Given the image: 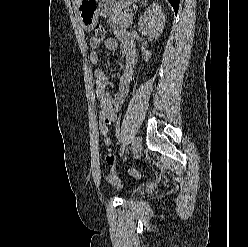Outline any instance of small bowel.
I'll list each match as a JSON object with an SVG mask.
<instances>
[{
  "label": "small bowel",
  "mask_w": 248,
  "mask_h": 247,
  "mask_svg": "<svg viewBox=\"0 0 248 247\" xmlns=\"http://www.w3.org/2000/svg\"><path fill=\"white\" fill-rule=\"evenodd\" d=\"M118 37L125 57L124 67L119 80L117 82H111L108 80L102 69H96L94 71L96 82L95 91L99 102V129L100 133L104 137V144L107 148L105 160L111 167L116 164V156L112 152V141L108 136V127L112 122L116 121L117 113L122 108L125 99L129 94L130 85L133 79V70L137 60L134 41L131 36L125 32H120ZM89 43L91 48L90 61L93 64L99 62L97 50L102 43H104L110 50H116L118 48V42L112 38H97L93 36ZM108 88L115 89L116 93L112 95L108 92Z\"/></svg>",
  "instance_id": "c3829d8e"
}]
</instances>
